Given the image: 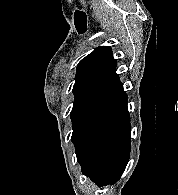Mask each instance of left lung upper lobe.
Here are the masks:
<instances>
[{"instance_id":"1","label":"left lung upper lobe","mask_w":178,"mask_h":195,"mask_svg":"<svg viewBox=\"0 0 178 195\" xmlns=\"http://www.w3.org/2000/svg\"><path fill=\"white\" fill-rule=\"evenodd\" d=\"M116 65L108 46L96 48L77 65L71 111L72 138L123 92Z\"/></svg>"}]
</instances>
